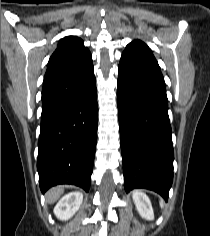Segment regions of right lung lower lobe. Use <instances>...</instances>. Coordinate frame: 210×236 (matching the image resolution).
I'll return each instance as SVG.
<instances>
[{
	"label": "right lung lower lobe",
	"mask_w": 210,
	"mask_h": 236,
	"mask_svg": "<svg viewBox=\"0 0 210 236\" xmlns=\"http://www.w3.org/2000/svg\"><path fill=\"white\" fill-rule=\"evenodd\" d=\"M98 125L93 64L43 84L37 169L44 193L58 184L88 192Z\"/></svg>",
	"instance_id": "right-lung-lower-lobe-1"
}]
</instances>
